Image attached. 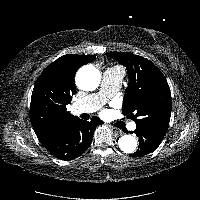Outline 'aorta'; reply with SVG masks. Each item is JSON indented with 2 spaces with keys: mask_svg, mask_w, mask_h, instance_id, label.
<instances>
[{
  "mask_svg": "<svg viewBox=\"0 0 200 200\" xmlns=\"http://www.w3.org/2000/svg\"><path fill=\"white\" fill-rule=\"evenodd\" d=\"M100 73L94 66H83L76 75L77 86L84 91L96 89L100 83ZM119 148L125 153H133L137 149V140L132 135H123L118 140Z\"/></svg>",
  "mask_w": 200,
  "mask_h": 200,
  "instance_id": "aorta-1",
  "label": "aorta"
}]
</instances>
